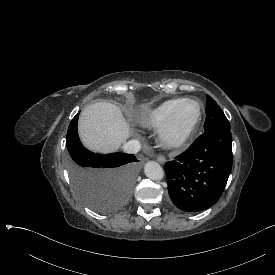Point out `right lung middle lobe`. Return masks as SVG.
Returning a JSON list of instances; mask_svg holds the SVG:
<instances>
[{
  "label": "right lung middle lobe",
  "mask_w": 275,
  "mask_h": 275,
  "mask_svg": "<svg viewBox=\"0 0 275 275\" xmlns=\"http://www.w3.org/2000/svg\"><path fill=\"white\" fill-rule=\"evenodd\" d=\"M78 114L66 137L67 164L76 196L89 208L110 214L124 206L139 175V160L133 154H97L87 150L77 132Z\"/></svg>",
  "instance_id": "1"
}]
</instances>
